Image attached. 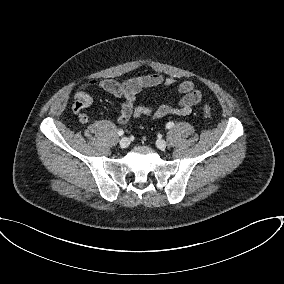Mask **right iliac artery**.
I'll use <instances>...</instances> for the list:
<instances>
[{"label":"right iliac artery","instance_id":"obj_1","mask_svg":"<svg viewBox=\"0 0 284 284\" xmlns=\"http://www.w3.org/2000/svg\"><path fill=\"white\" fill-rule=\"evenodd\" d=\"M123 134H124V131L120 129V130L118 131V135L122 136Z\"/></svg>","mask_w":284,"mask_h":284}]
</instances>
